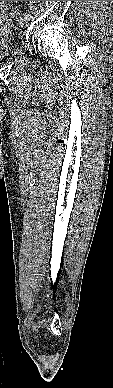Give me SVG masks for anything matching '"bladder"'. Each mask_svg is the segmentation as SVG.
Wrapping results in <instances>:
<instances>
[{
  "label": "bladder",
  "instance_id": "31cf9c89",
  "mask_svg": "<svg viewBox=\"0 0 113 388\" xmlns=\"http://www.w3.org/2000/svg\"><path fill=\"white\" fill-rule=\"evenodd\" d=\"M0 19V35L7 33L11 28V22L5 14ZM12 44L10 41L0 39V60L9 57L12 54Z\"/></svg>",
  "mask_w": 113,
  "mask_h": 388
}]
</instances>
